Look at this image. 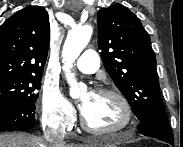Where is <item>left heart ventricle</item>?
<instances>
[{
  "label": "left heart ventricle",
  "mask_w": 183,
  "mask_h": 147,
  "mask_svg": "<svg viewBox=\"0 0 183 147\" xmlns=\"http://www.w3.org/2000/svg\"><path fill=\"white\" fill-rule=\"evenodd\" d=\"M85 108L82 111L88 123L97 129L121 126L125 112L119 101L108 95L84 94Z\"/></svg>",
  "instance_id": "left-heart-ventricle-1"
}]
</instances>
